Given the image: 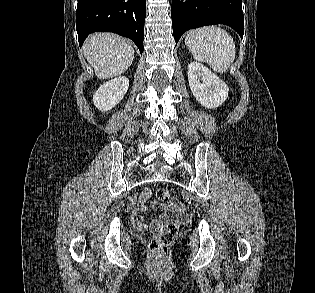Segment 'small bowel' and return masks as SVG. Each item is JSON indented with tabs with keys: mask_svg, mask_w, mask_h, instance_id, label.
<instances>
[{
	"mask_svg": "<svg viewBox=\"0 0 315 293\" xmlns=\"http://www.w3.org/2000/svg\"><path fill=\"white\" fill-rule=\"evenodd\" d=\"M151 196V189L145 188L141 195L139 196L136 206L133 210V221L135 223V226L138 229L146 230L148 228V225L143 221L142 214L147 211L149 208V199ZM155 208H161V209H169V207L165 204H161L158 202H155L152 204ZM168 213L170 215H173L175 213V210L173 208H170L168 210ZM168 215L166 213H161L158 218H155L151 222V228L152 230H162L163 224L168 221Z\"/></svg>",
	"mask_w": 315,
	"mask_h": 293,
	"instance_id": "small-bowel-1",
	"label": "small bowel"
}]
</instances>
